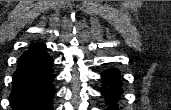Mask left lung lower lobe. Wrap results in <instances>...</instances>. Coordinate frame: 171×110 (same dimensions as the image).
<instances>
[{
    "label": "left lung lower lobe",
    "mask_w": 171,
    "mask_h": 110,
    "mask_svg": "<svg viewBox=\"0 0 171 110\" xmlns=\"http://www.w3.org/2000/svg\"><path fill=\"white\" fill-rule=\"evenodd\" d=\"M119 74L115 68L107 69L102 73L103 86L101 92L105 98L107 110H122L119 100L123 89Z\"/></svg>",
    "instance_id": "1"
}]
</instances>
